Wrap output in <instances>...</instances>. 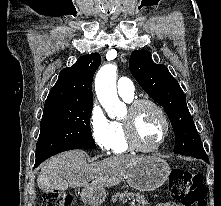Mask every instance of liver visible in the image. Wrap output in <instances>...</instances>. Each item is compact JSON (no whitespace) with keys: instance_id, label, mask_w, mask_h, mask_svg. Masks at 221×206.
Returning <instances> with one entry per match:
<instances>
[{"instance_id":"liver-1","label":"liver","mask_w":221,"mask_h":206,"mask_svg":"<svg viewBox=\"0 0 221 206\" xmlns=\"http://www.w3.org/2000/svg\"><path fill=\"white\" fill-rule=\"evenodd\" d=\"M86 156L82 150H72L47 160L37 178L39 188H54L57 179L63 182L64 189L68 185L84 188L114 186L141 160L139 157L117 155L88 164Z\"/></svg>"}]
</instances>
